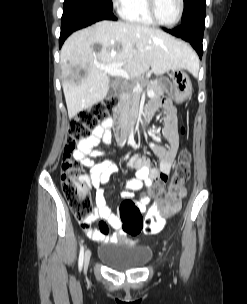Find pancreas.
Listing matches in <instances>:
<instances>
[{"mask_svg":"<svg viewBox=\"0 0 247 304\" xmlns=\"http://www.w3.org/2000/svg\"><path fill=\"white\" fill-rule=\"evenodd\" d=\"M147 88L149 90H153L154 98H159L164 94V88L159 81H150L147 82ZM140 94L137 91H133L132 98V110L133 112H137L140 107Z\"/></svg>","mask_w":247,"mask_h":304,"instance_id":"1","label":"pancreas"}]
</instances>
